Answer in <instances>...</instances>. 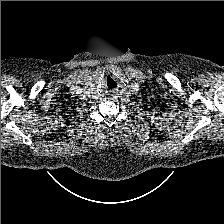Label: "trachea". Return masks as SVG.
<instances>
[{
	"label": "trachea",
	"mask_w": 224,
	"mask_h": 224,
	"mask_svg": "<svg viewBox=\"0 0 224 224\" xmlns=\"http://www.w3.org/2000/svg\"><path fill=\"white\" fill-rule=\"evenodd\" d=\"M117 82L111 78V77H108L107 80L105 81V86L108 90H113L117 87Z\"/></svg>",
	"instance_id": "obj_1"
}]
</instances>
